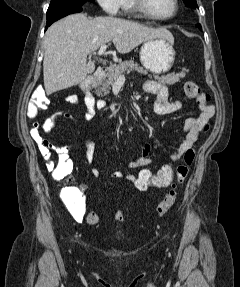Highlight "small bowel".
<instances>
[{"instance_id":"obj_1","label":"small bowel","mask_w":240,"mask_h":287,"mask_svg":"<svg viewBox=\"0 0 240 287\" xmlns=\"http://www.w3.org/2000/svg\"><path fill=\"white\" fill-rule=\"evenodd\" d=\"M143 89L145 92L154 95L155 101L153 103V112L156 115L162 116L170 114L181 107V103L177 100L169 99L168 88L154 80L146 81L143 85ZM66 102L77 105L79 103V97L75 94L68 95L65 98ZM85 102L87 106V112L85 113L86 117H92L95 111V102L91 96V94L86 95ZM97 106L102 108L104 106V102L99 100L97 102ZM198 107L200 112L192 117H188L184 121V139L179 144L177 149L173 151L169 158L171 161L179 160L182 155L190 148H192L193 144L196 142L199 133L205 128L209 122V120L214 116L215 108L212 105L207 103H198ZM37 108L29 105L27 110V116L30 119L35 118L37 114ZM60 119H65L73 122V118L70 114L66 112L57 113L50 118L46 119L42 124V129L44 132L48 133L52 131L57 125ZM31 136L34 141L38 145V149L42 157L50 164L51 154L54 151L59 158L67 160L70 164L71 160L69 158V152L72 149V145H63V146H55L51 144L49 141L44 139L39 131L35 128L31 130ZM84 143L86 147L85 157L89 164L93 163L94 153H95V145L89 138H84ZM152 146L147 143L145 144L142 153L135 157L128 163V167L130 169H143L152 164V160L150 158ZM92 175L96 178L102 177V173L96 167L92 168ZM111 177L114 179H122L126 178L129 182H134V175H124L122 171L115 170L111 173ZM86 188L85 185H81L79 189H71L64 196V203L74 220L78 223H82L84 221L86 215V202L85 197L82 191Z\"/></svg>"}]
</instances>
